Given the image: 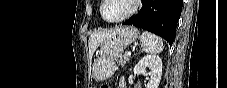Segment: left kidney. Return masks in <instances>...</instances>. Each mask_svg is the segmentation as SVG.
I'll use <instances>...</instances> for the list:
<instances>
[{
    "label": "left kidney",
    "mask_w": 227,
    "mask_h": 88,
    "mask_svg": "<svg viewBox=\"0 0 227 88\" xmlns=\"http://www.w3.org/2000/svg\"><path fill=\"white\" fill-rule=\"evenodd\" d=\"M149 68L150 72L146 73ZM135 74H143L149 76L146 88H158L162 75V60L157 55L144 56L134 67Z\"/></svg>",
    "instance_id": "5707ae66"
}]
</instances>
